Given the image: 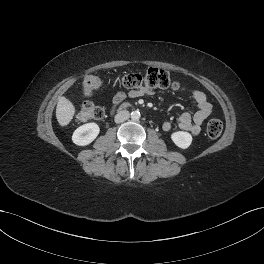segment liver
I'll return each mask as SVG.
<instances>
[{
  "label": "liver",
  "instance_id": "6515ba94",
  "mask_svg": "<svg viewBox=\"0 0 264 264\" xmlns=\"http://www.w3.org/2000/svg\"><path fill=\"white\" fill-rule=\"evenodd\" d=\"M75 114V107L73 103L62 96L59 98L56 107V118L61 126H67Z\"/></svg>",
  "mask_w": 264,
  "mask_h": 264
}]
</instances>
